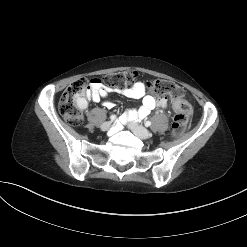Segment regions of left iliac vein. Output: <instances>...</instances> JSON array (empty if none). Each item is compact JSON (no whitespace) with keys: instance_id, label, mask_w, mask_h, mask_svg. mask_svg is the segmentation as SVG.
I'll return each mask as SVG.
<instances>
[{"instance_id":"obj_1","label":"left iliac vein","mask_w":247,"mask_h":247,"mask_svg":"<svg viewBox=\"0 0 247 247\" xmlns=\"http://www.w3.org/2000/svg\"><path fill=\"white\" fill-rule=\"evenodd\" d=\"M130 128L133 133L140 139H148L152 135L146 128L136 123H131Z\"/></svg>"}]
</instances>
